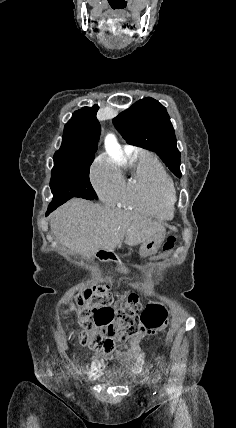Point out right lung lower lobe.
Instances as JSON below:
<instances>
[{"label":"right lung lower lobe","instance_id":"right-lung-lower-lobe-1","mask_svg":"<svg viewBox=\"0 0 236 428\" xmlns=\"http://www.w3.org/2000/svg\"><path fill=\"white\" fill-rule=\"evenodd\" d=\"M56 208H57V207H48V211H47V213H46V216H47L50 212L54 211Z\"/></svg>","mask_w":236,"mask_h":428}]
</instances>
